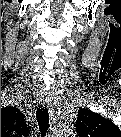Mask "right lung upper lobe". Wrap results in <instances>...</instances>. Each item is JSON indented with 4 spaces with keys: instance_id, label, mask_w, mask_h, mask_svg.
Listing matches in <instances>:
<instances>
[{
    "instance_id": "obj_1",
    "label": "right lung upper lobe",
    "mask_w": 121,
    "mask_h": 137,
    "mask_svg": "<svg viewBox=\"0 0 121 137\" xmlns=\"http://www.w3.org/2000/svg\"><path fill=\"white\" fill-rule=\"evenodd\" d=\"M27 125L24 115L15 107L1 109V135L3 134H27Z\"/></svg>"
}]
</instances>
